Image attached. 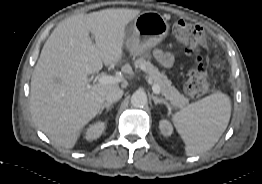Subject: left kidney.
<instances>
[{
    "label": "left kidney",
    "instance_id": "obj_1",
    "mask_svg": "<svg viewBox=\"0 0 262 184\" xmlns=\"http://www.w3.org/2000/svg\"><path fill=\"white\" fill-rule=\"evenodd\" d=\"M159 128H160L161 133L165 137L171 136V134L173 132L172 125L167 120H161L160 123H159Z\"/></svg>",
    "mask_w": 262,
    "mask_h": 184
}]
</instances>
